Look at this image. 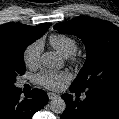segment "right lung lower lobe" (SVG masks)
I'll use <instances>...</instances> for the list:
<instances>
[{"mask_svg": "<svg viewBox=\"0 0 119 119\" xmlns=\"http://www.w3.org/2000/svg\"><path fill=\"white\" fill-rule=\"evenodd\" d=\"M20 95L21 89L15 87L0 98V119H32L48 102L41 89H33L25 98Z\"/></svg>", "mask_w": 119, "mask_h": 119, "instance_id": "98d812e1", "label": "right lung lower lobe"}]
</instances>
